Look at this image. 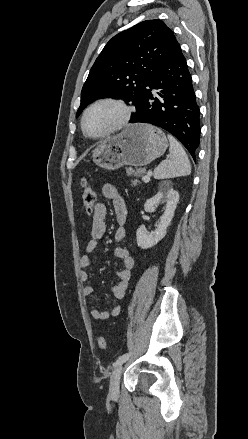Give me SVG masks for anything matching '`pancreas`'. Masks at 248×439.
Returning a JSON list of instances; mask_svg holds the SVG:
<instances>
[{
	"instance_id": "obj_1",
	"label": "pancreas",
	"mask_w": 248,
	"mask_h": 439,
	"mask_svg": "<svg viewBox=\"0 0 248 439\" xmlns=\"http://www.w3.org/2000/svg\"><path fill=\"white\" fill-rule=\"evenodd\" d=\"M127 174L128 175H133L135 177V179H133L131 181L132 186H136L140 183V181L138 180V177L143 176L146 173V169L144 168H140V169H127Z\"/></svg>"
}]
</instances>
